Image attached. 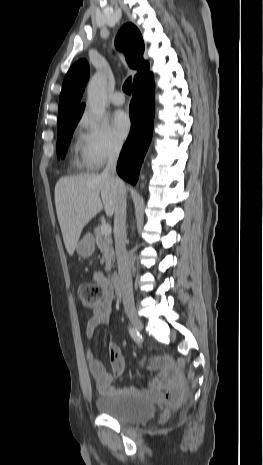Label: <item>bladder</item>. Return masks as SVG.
Returning <instances> with one entry per match:
<instances>
[{
    "label": "bladder",
    "mask_w": 263,
    "mask_h": 465,
    "mask_svg": "<svg viewBox=\"0 0 263 465\" xmlns=\"http://www.w3.org/2000/svg\"><path fill=\"white\" fill-rule=\"evenodd\" d=\"M99 412L123 423H141L154 417L155 406L133 393L105 394L96 400Z\"/></svg>",
    "instance_id": "31cf9c89"
}]
</instances>
